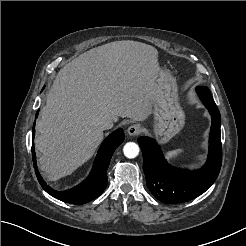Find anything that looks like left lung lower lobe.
<instances>
[{
  "label": "left lung lower lobe",
  "mask_w": 246,
  "mask_h": 246,
  "mask_svg": "<svg viewBox=\"0 0 246 246\" xmlns=\"http://www.w3.org/2000/svg\"><path fill=\"white\" fill-rule=\"evenodd\" d=\"M196 92L209 110L212 125L209 137V155L199 170H178L167 163L158 144L149 137H140L138 143L143 154V170L151 193L161 202L176 204L192 200L215 182L222 163L220 112L208 87L198 86Z\"/></svg>",
  "instance_id": "1"
}]
</instances>
